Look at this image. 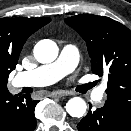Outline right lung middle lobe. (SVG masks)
<instances>
[{
    "label": "right lung middle lobe",
    "instance_id": "right-lung-middle-lobe-1",
    "mask_svg": "<svg viewBox=\"0 0 131 131\" xmlns=\"http://www.w3.org/2000/svg\"><path fill=\"white\" fill-rule=\"evenodd\" d=\"M9 74H0V90L7 88V81H8Z\"/></svg>",
    "mask_w": 131,
    "mask_h": 131
}]
</instances>
